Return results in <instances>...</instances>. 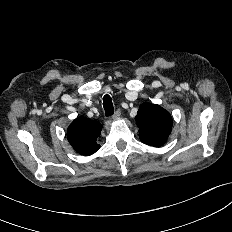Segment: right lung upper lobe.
<instances>
[{
	"mask_svg": "<svg viewBox=\"0 0 232 232\" xmlns=\"http://www.w3.org/2000/svg\"><path fill=\"white\" fill-rule=\"evenodd\" d=\"M101 129L102 125L97 120L79 116L69 126L67 138L77 153L92 155L100 148L96 141Z\"/></svg>",
	"mask_w": 232,
	"mask_h": 232,
	"instance_id": "1",
	"label": "right lung upper lobe"
}]
</instances>
